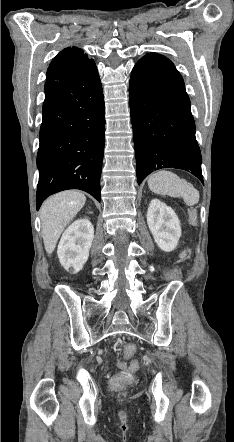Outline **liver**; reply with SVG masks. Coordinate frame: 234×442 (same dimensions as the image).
Masks as SVG:
<instances>
[{
    "mask_svg": "<svg viewBox=\"0 0 234 442\" xmlns=\"http://www.w3.org/2000/svg\"><path fill=\"white\" fill-rule=\"evenodd\" d=\"M86 197L83 193L68 190L48 198L42 205V237L45 250L50 255L65 227L83 208Z\"/></svg>",
    "mask_w": 234,
    "mask_h": 442,
    "instance_id": "1",
    "label": "liver"
}]
</instances>
